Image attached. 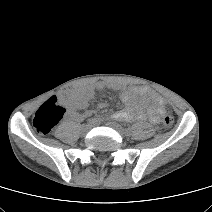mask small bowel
<instances>
[{
  "mask_svg": "<svg viewBox=\"0 0 212 212\" xmlns=\"http://www.w3.org/2000/svg\"><path fill=\"white\" fill-rule=\"evenodd\" d=\"M106 89L119 93L120 100L125 107L116 111L112 118L119 121H141L148 119L152 123H159L165 113V102L156 93L146 88L122 87L116 83L99 81L92 85H83L62 94L61 100L67 106L66 118L71 121H80L91 115V111L85 109L95 97L104 94ZM148 98L152 99L154 106L148 105ZM106 107L105 103L100 104Z\"/></svg>",
  "mask_w": 212,
  "mask_h": 212,
  "instance_id": "small-bowel-1",
  "label": "small bowel"
}]
</instances>
